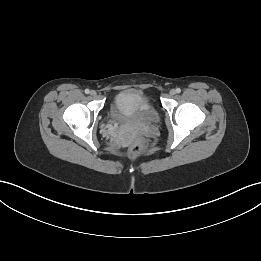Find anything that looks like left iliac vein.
I'll return each mask as SVG.
<instances>
[{"label":"left iliac vein","mask_w":261,"mask_h":261,"mask_svg":"<svg viewBox=\"0 0 261 261\" xmlns=\"http://www.w3.org/2000/svg\"><path fill=\"white\" fill-rule=\"evenodd\" d=\"M169 94H170L171 96H174V95L176 94V90H174V89L170 90Z\"/></svg>","instance_id":"1"}]
</instances>
